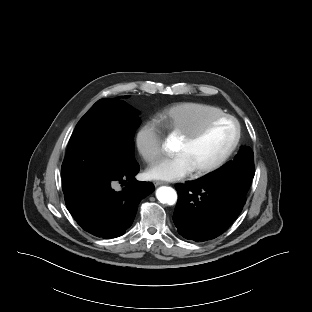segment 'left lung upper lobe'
Masks as SVG:
<instances>
[{
	"label": "left lung upper lobe",
	"mask_w": 312,
	"mask_h": 312,
	"mask_svg": "<svg viewBox=\"0 0 312 312\" xmlns=\"http://www.w3.org/2000/svg\"><path fill=\"white\" fill-rule=\"evenodd\" d=\"M254 174L253 151L249 147H241L233 161L228 162L208 177L226 179L247 194Z\"/></svg>",
	"instance_id": "1"
}]
</instances>
